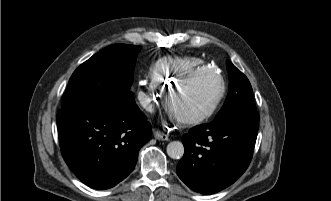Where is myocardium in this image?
I'll list each match as a JSON object with an SVG mask.
<instances>
[{
  "label": "myocardium",
  "instance_id": "f54148a6",
  "mask_svg": "<svg viewBox=\"0 0 331 201\" xmlns=\"http://www.w3.org/2000/svg\"><path fill=\"white\" fill-rule=\"evenodd\" d=\"M204 74H212L216 77L217 81L219 82V90L216 96L213 98V100L206 106L203 110L200 112L191 115V116H180L176 114L177 119L183 123V124H196L199 123L208 117H210L218 108L219 104L221 103L225 91H226V85L223 77L218 74L216 71L208 68V67H202L198 70H195L191 72L181 83L176 84L175 86L169 87L166 94V104L168 108L173 111L172 108V97L175 92V90L182 88L189 84L190 82L194 81L196 78L204 75Z\"/></svg>",
  "mask_w": 331,
  "mask_h": 201
}]
</instances>
